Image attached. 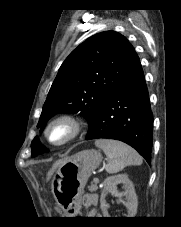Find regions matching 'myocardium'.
Instances as JSON below:
<instances>
[{
    "label": "myocardium",
    "instance_id": "obj_1",
    "mask_svg": "<svg viewBox=\"0 0 181 227\" xmlns=\"http://www.w3.org/2000/svg\"><path fill=\"white\" fill-rule=\"evenodd\" d=\"M58 125H63L68 128V134L66 137L60 141H53L50 138V132L51 130ZM84 130V122L83 120L70 113L61 114L55 118H53L51 121L48 122L44 129V138L46 142L52 146L60 147L64 146L73 140H75L77 137L81 135V133Z\"/></svg>",
    "mask_w": 181,
    "mask_h": 227
}]
</instances>
